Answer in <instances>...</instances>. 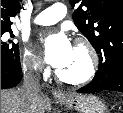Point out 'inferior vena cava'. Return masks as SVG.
<instances>
[{"mask_svg": "<svg viewBox=\"0 0 123 113\" xmlns=\"http://www.w3.org/2000/svg\"><path fill=\"white\" fill-rule=\"evenodd\" d=\"M40 74L32 67L25 70L23 85L20 92L28 102H33L40 96Z\"/></svg>", "mask_w": 123, "mask_h": 113, "instance_id": "1", "label": "inferior vena cava"}]
</instances>
